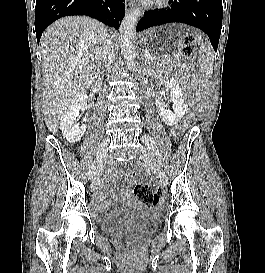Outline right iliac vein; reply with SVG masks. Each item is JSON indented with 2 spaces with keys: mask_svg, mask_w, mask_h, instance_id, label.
Returning <instances> with one entry per match:
<instances>
[{
  "mask_svg": "<svg viewBox=\"0 0 265 273\" xmlns=\"http://www.w3.org/2000/svg\"><path fill=\"white\" fill-rule=\"evenodd\" d=\"M109 139L105 138L101 144L99 145L98 149H97V153H96V171L94 173V178H93V182L91 185V190L95 191V189L97 188V186L100 184V177L102 174V167L103 164L106 161L107 158V152H108V145H109Z\"/></svg>",
  "mask_w": 265,
  "mask_h": 273,
  "instance_id": "63e3f726",
  "label": "right iliac vein"
}]
</instances>
